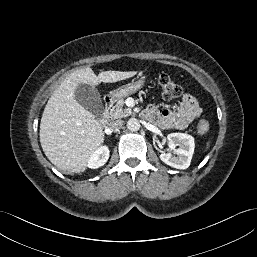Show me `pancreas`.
Returning a JSON list of instances; mask_svg holds the SVG:
<instances>
[{
    "instance_id": "1",
    "label": "pancreas",
    "mask_w": 257,
    "mask_h": 257,
    "mask_svg": "<svg viewBox=\"0 0 257 257\" xmlns=\"http://www.w3.org/2000/svg\"><path fill=\"white\" fill-rule=\"evenodd\" d=\"M125 104V101L123 99H120L116 105L110 109L109 116L112 119H119L124 118L127 116H130L132 114V111L130 108H123Z\"/></svg>"
}]
</instances>
